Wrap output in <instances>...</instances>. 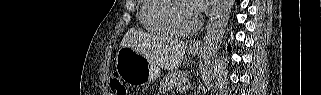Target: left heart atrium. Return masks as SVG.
I'll return each instance as SVG.
<instances>
[{
  "label": "left heart atrium",
  "instance_id": "1",
  "mask_svg": "<svg viewBox=\"0 0 321 95\" xmlns=\"http://www.w3.org/2000/svg\"><path fill=\"white\" fill-rule=\"evenodd\" d=\"M193 5H191V10L195 16L201 13L203 10L206 9L209 1L206 0H192Z\"/></svg>",
  "mask_w": 321,
  "mask_h": 95
}]
</instances>
